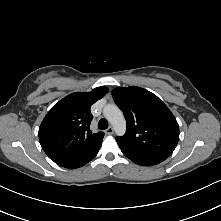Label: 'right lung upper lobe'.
Listing matches in <instances>:
<instances>
[{
    "mask_svg": "<svg viewBox=\"0 0 221 221\" xmlns=\"http://www.w3.org/2000/svg\"><path fill=\"white\" fill-rule=\"evenodd\" d=\"M107 92L108 88L98 87L91 92L72 93L47 113L39 127V140L56 164L75 169L97 155L104 133L90 130V107Z\"/></svg>",
    "mask_w": 221,
    "mask_h": 221,
    "instance_id": "obj_1",
    "label": "right lung upper lobe"
}]
</instances>
